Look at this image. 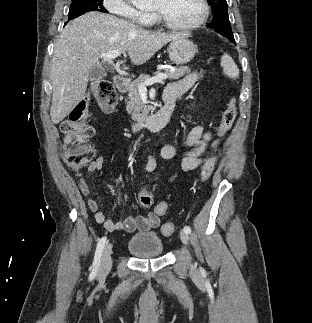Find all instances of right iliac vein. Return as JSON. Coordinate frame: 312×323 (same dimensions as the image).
<instances>
[{
    "instance_id": "right-iliac-vein-1",
    "label": "right iliac vein",
    "mask_w": 312,
    "mask_h": 323,
    "mask_svg": "<svg viewBox=\"0 0 312 323\" xmlns=\"http://www.w3.org/2000/svg\"><path fill=\"white\" fill-rule=\"evenodd\" d=\"M111 253H112V245L110 243H108L105 246L104 251L102 253V257H101V265L99 268V275L100 276H105L111 268V265H112Z\"/></svg>"
}]
</instances>
